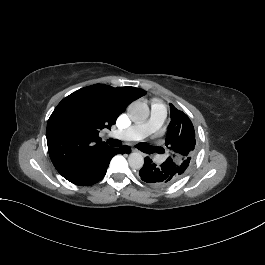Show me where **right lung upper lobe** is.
Returning <instances> with one entry per match:
<instances>
[{
	"label": "right lung upper lobe",
	"mask_w": 265,
	"mask_h": 265,
	"mask_svg": "<svg viewBox=\"0 0 265 265\" xmlns=\"http://www.w3.org/2000/svg\"><path fill=\"white\" fill-rule=\"evenodd\" d=\"M147 92L135 87L95 84L64 98L47 123V145L57 171L68 178L109 146L98 136L111 128L134 100Z\"/></svg>",
	"instance_id": "1"
}]
</instances>
